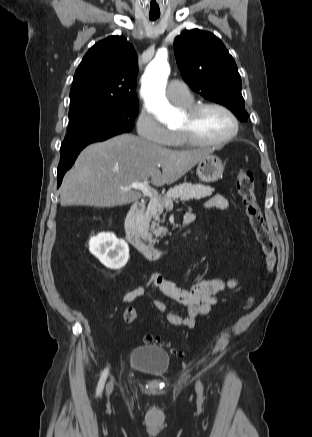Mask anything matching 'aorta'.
<instances>
[{
  "label": "aorta",
  "instance_id": "1",
  "mask_svg": "<svg viewBox=\"0 0 312 437\" xmlns=\"http://www.w3.org/2000/svg\"><path fill=\"white\" fill-rule=\"evenodd\" d=\"M170 67L166 59L156 57L149 63L142 76L141 94L147 108L164 124L175 119V109L165 96V88Z\"/></svg>",
  "mask_w": 312,
  "mask_h": 437
}]
</instances>
